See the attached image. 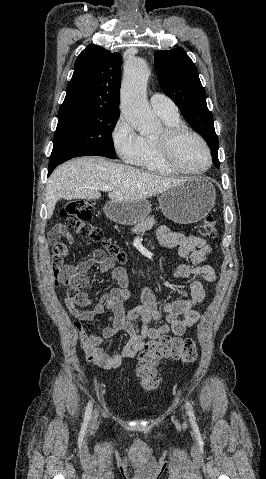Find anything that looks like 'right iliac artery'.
Masks as SVG:
<instances>
[{
  "label": "right iliac artery",
  "instance_id": "obj_1",
  "mask_svg": "<svg viewBox=\"0 0 266 479\" xmlns=\"http://www.w3.org/2000/svg\"><path fill=\"white\" fill-rule=\"evenodd\" d=\"M91 412H92V402H89L86 411H85V416H84V424H87L90 417H91Z\"/></svg>",
  "mask_w": 266,
  "mask_h": 479
}]
</instances>
